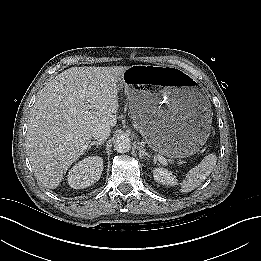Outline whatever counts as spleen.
Listing matches in <instances>:
<instances>
[{
  "label": "spleen",
  "instance_id": "spleen-1",
  "mask_svg": "<svg viewBox=\"0 0 261 261\" xmlns=\"http://www.w3.org/2000/svg\"><path fill=\"white\" fill-rule=\"evenodd\" d=\"M217 162V157L211 153L204 157L198 166L191 169L180 184V192L188 193L199 187L202 182L212 173Z\"/></svg>",
  "mask_w": 261,
  "mask_h": 261
}]
</instances>
